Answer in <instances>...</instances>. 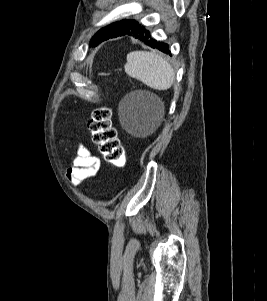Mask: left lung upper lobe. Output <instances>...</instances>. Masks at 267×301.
<instances>
[{
    "mask_svg": "<svg viewBox=\"0 0 267 301\" xmlns=\"http://www.w3.org/2000/svg\"><path fill=\"white\" fill-rule=\"evenodd\" d=\"M139 24L134 20H121L100 29L91 39V46H97L111 35L124 34Z\"/></svg>",
    "mask_w": 267,
    "mask_h": 301,
    "instance_id": "1",
    "label": "left lung upper lobe"
}]
</instances>
